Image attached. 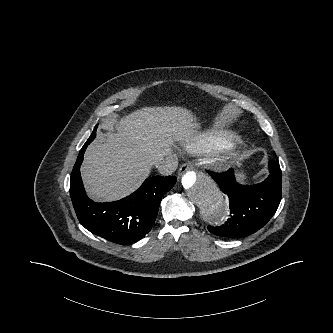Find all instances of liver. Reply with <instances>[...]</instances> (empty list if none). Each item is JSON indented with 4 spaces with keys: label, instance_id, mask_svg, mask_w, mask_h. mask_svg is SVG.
Here are the masks:
<instances>
[{
    "label": "liver",
    "instance_id": "1",
    "mask_svg": "<svg viewBox=\"0 0 333 333\" xmlns=\"http://www.w3.org/2000/svg\"><path fill=\"white\" fill-rule=\"evenodd\" d=\"M193 113L182 107H144L113 119L84 155L81 175L96 201H116L140 187L152 165L170 152L173 140L186 139L200 129Z\"/></svg>",
    "mask_w": 333,
    "mask_h": 333
}]
</instances>
